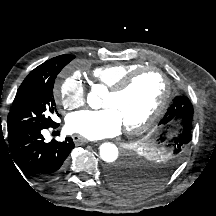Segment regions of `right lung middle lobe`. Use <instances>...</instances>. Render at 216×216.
Returning a JSON list of instances; mask_svg holds the SVG:
<instances>
[{
	"label": "right lung middle lobe",
	"instance_id": "dd1d6c3e",
	"mask_svg": "<svg viewBox=\"0 0 216 216\" xmlns=\"http://www.w3.org/2000/svg\"><path fill=\"white\" fill-rule=\"evenodd\" d=\"M75 56L61 55L50 59L45 70L19 87L7 119L8 134L21 130L45 129L55 125L51 114L56 113L53 86L58 73Z\"/></svg>",
	"mask_w": 216,
	"mask_h": 216
}]
</instances>
